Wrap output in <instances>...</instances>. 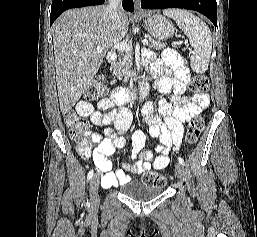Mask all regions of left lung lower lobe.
Here are the masks:
<instances>
[{"instance_id": "left-lung-lower-lobe-1", "label": "left lung lower lobe", "mask_w": 257, "mask_h": 237, "mask_svg": "<svg viewBox=\"0 0 257 237\" xmlns=\"http://www.w3.org/2000/svg\"><path fill=\"white\" fill-rule=\"evenodd\" d=\"M143 9H165L184 8L195 10L208 17L217 25V3L216 0H141Z\"/></svg>"}]
</instances>
